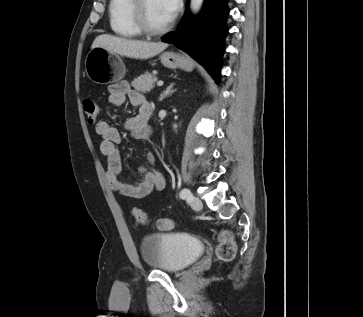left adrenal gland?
I'll return each mask as SVG.
<instances>
[{"instance_id": "a2214340", "label": "left adrenal gland", "mask_w": 363, "mask_h": 317, "mask_svg": "<svg viewBox=\"0 0 363 317\" xmlns=\"http://www.w3.org/2000/svg\"><path fill=\"white\" fill-rule=\"evenodd\" d=\"M175 85V83H171L165 91H163V93H161L160 97H159V101H162L163 99H165L166 97H168L169 95H171L175 90L172 89L173 86Z\"/></svg>"}]
</instances>
